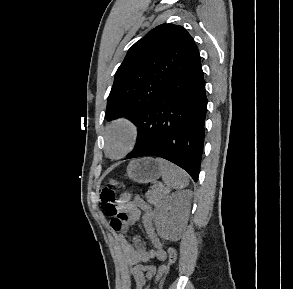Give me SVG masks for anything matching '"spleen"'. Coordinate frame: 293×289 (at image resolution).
<instances>
[{"instance_id": "3e777b00", "label": "spleen", "mask_w": 293, "mask_h": 289, "mask_svg": "<svg viewBox=\"0 0 293 289\" xmlns=\"http://www.w3.org/2000/svg\"><path fill=\"white\" fill-rule=\"evenodd\" d=\"M156 162L160 166L162 180L168 187L177 190L188 186V175L184 170L162 158H157Z\"/></svg>"}]
</instances>
